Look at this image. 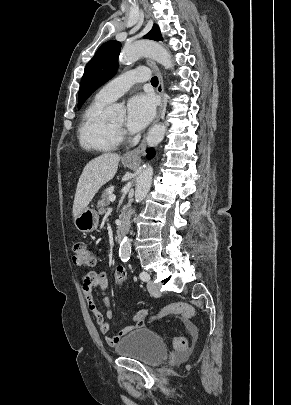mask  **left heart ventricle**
I'll return each instance as SVG.
<instances>
[{"label": "left heart ventricle", "mask_w": 291, "mask_h": 405, "mask_svg": "<svg viewBox=\"0 0 291 405\" xmlns=\"http://www.w3.org/2000/svg\"><path fill=\"white\" fill-rule=\"evenodd\" d=\"M125 119L121 117L120 119L113 122V125L116 127H122L124 125Z\"/></svg>", "instance_id": "b2bd125f"}]
</instances>
